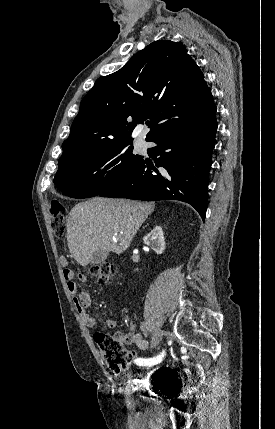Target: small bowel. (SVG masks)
Listing matches in <instances>:
<instances>
[{"instance_id":"1","label":"small bowel","mask_w":275,"mask_h":429,"mask_svg":"<svg viewBox=\"0 0 275 429\" xmlns=\"http://www.w3.org/2000/svg\"><path fill=\"white\" fill-rule=\"evenodd\" d=\"M63 275L67 283V287L69 292L74 296V302L76 305L77 312L79 313L83 323L89 328L94 329L97 327V319L90 315L87 312V309L91 305V296L87 292H79L76 282L74 281V273L71 269H64ZM79 280L82 283L87 282V277L85 275H79ZM107 326L109 328H115L116 327V321L114 319H108L107 320ZM117 336L121 337L124 343L127 344H136L139 349L142 350H148L150 349V343L137 333H117ZM132 353V352H131ZM133 358L135 356L134 353H132Z\"/></svg>"}]
</instances>
